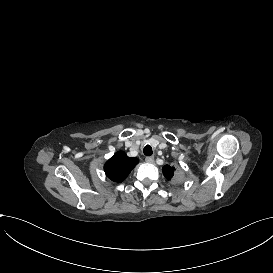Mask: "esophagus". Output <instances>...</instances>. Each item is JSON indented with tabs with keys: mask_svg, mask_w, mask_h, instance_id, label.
Masks as SVG:
<instances>
[{
	"mask_svg": "<svg viewBox=\"0 0 273 273\" xmlns=\"http://www.w3.org/2000/svg\"><path fill=\"white\" fill-rule=\"evenodd\" d=\"M145 161L148 163H153L154 162V157L153 156H148L145 158Z\"/></svg>",
	"mask_w": 273,
	"mask_h": 273,
	"instance_id": "esophagus-1",
	"label": "esophagus"
}]
</instances>
